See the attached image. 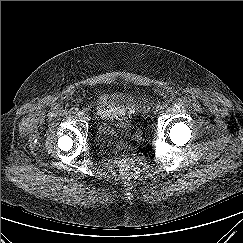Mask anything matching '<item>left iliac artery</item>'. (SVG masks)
I'll return each instance as SVG.
<instances>
[{
  "label": "left iliac artery",
  "mask_w": 243,
  "mask_h": 243,
  "mask_svg": "<svg viewBox=\"0 0 243 243\" xmlns=\"http://www.w3.org/2000/svg\"><path fill=\"white\" fill-rule=\"evenodd\" d=\"M169 105V102L163 104V107L166 108Z\"/></svg>",
  "instance_id": "left-iliac-artery-1"
}]
</instances>
